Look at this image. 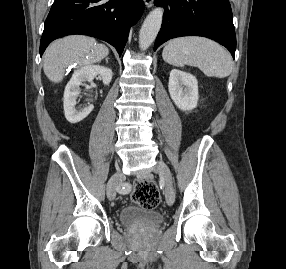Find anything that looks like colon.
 Here are the masks:
<instances>
[{"label":"colon","instance_id":"5ec220e1","mask_svg":"<svg viewBox=\"0 0 286 269\" xmlns=\"http://www.w3.org/2000/svg\"><path fill=\"white\" fill-rule=\"evenodd\" d=\"M133 201L146 209H153L160 202L159 192L151 181H138L132 196Z\"/></svg>","mask_w":286,"mask_h":269}]
</instances>
